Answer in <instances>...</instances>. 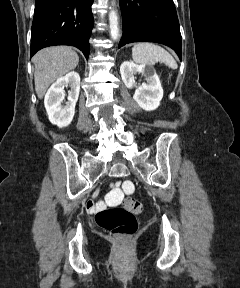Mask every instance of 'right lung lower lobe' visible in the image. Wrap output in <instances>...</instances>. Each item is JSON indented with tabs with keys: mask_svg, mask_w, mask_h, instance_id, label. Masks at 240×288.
Wrapping results in <instances>:
<instances>
[{
	"mask_svg": "<svg viewBox=\"0 0 240 288\" xmlns=\"http://www.w3.org/2000/svg\"><path fill=\"white\" fill-rule=\"evenodd\" d=\"M93 0H36L31 32V56L53 45L79 48L88 59L93 28Z\"/></svg>",
	"mask_w": 240,
	"mask_h": 288,
	"instance_id": "98d812e1",
	"label": "right lung lower lobe"
}]
</instances>
